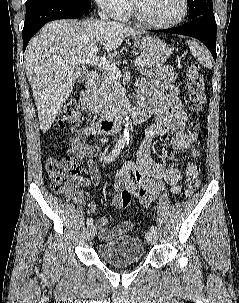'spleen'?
<instances>
[{"instance_id": "3e777b00", "label": "spleen", "mask_w": 239, "mask_h": 303, "mask_svg": "<svg viewBox=\"0 0 239 303\" xmlns=\"http://www.w3.org/2000/svg\"><path fill=\"white\" fill-rule=\"evenodd\" d=\"M191 54L197 58V61L204 67L211 69L212 60L208 50L195 41H188Z\"/></svg>"}]
</instances>
